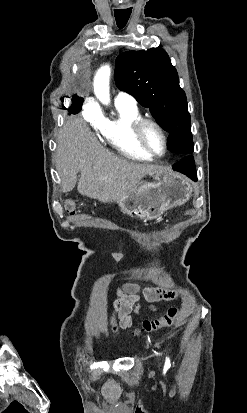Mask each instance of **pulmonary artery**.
Instances as JSON below:
<instances>
[{
  "mask_svg": "<svg viewBox=\"0 0 247 413\" xmlns=\"http://www.w3.org/2000/svg\"><path fill=\"white\" fill-rule=\"evenodd\" d=\"M115 101L123 106H134L136 104V99L131 93L121 90L117 92Z\"/></svg>",
  "mask_w": 247,
  "mask_h": 413,
  "instance_id": "obj_1",
  "label": "pulmonary artery"
}]
</instances>
